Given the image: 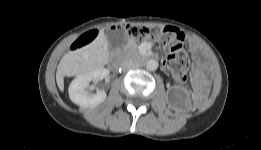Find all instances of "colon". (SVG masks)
<instances>
[{
	"label": "colon",
	"mask_w": 261,
	"mask_h": 150,
	"mask_svg": "<svg viewBox=\"0 0 261 150\" xmlns=\"http://www.w3.org/2000/svg\"><path fill=\"white\" fill-rule=\"evenodd\" d=\"M127 34L135 40H152L168 52L166 67L179 81L186 80L190 59L184 47V34L176 27H150L141 24L125 26ZM98 36L97 30L81 35L73 44L74 49L88 45Z\"/></svg>",
	"instance_id": "5ec220e1"
}]
</instances>
